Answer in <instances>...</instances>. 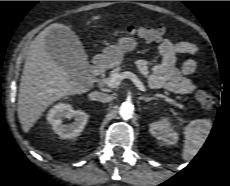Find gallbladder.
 <instances>
[{"label": "gallbladder", "mask_w": 230, "mask_h": 186, "mask_svg": "<svg viewBox=\"0 0 230 186\" xmlns=\"http://www.w3.org/2000/svg\"><path fill=\"white\" fill-rule=\"evenodd\" d=\"M45 46L52 59L63 66L74 80L85 82L87 56L74 32L64 28H54L46 36Z\"/></svg>", "instance_id": "1"}]
</instances>
